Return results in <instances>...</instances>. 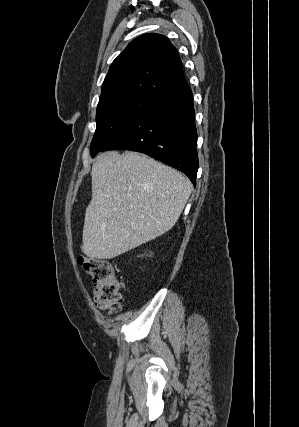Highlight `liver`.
Instances as JSON below:
<instances>
[{
	"label": "liver",
	"mask_w": 299,
	"mask_h": 427,
	"mask_svg": "<svg viewBox=\"0 0 299 427\" xmlns=\"http://www.w3.org/2000/svg\"><path fill=\"white\" fill-rule=\"evenodd\" d=\"M82 252L112 259L169 231L192 184L177 170L138 152L100 153L92 165Z\"/></svg>",
	"instance_id": "liver-1"
}]
</instances>
